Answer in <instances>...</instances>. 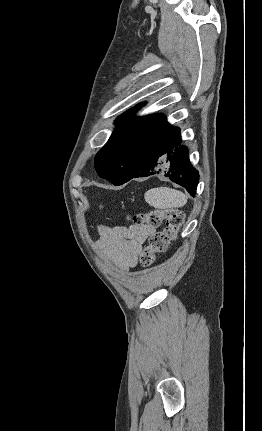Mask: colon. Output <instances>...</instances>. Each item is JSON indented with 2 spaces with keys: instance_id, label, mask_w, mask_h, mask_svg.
I'll return each mask as SVG.
<instances>
[{
  "instance_id": "5ec220e1",
  "label": "colon",
  "mask_w": 262,
  "mask_h": 431,
  "mask_svg": "<svg viewBox=\"0 0 262 431\" xmlns=\"http://www.w3.org/2000/svg\"><path fill=\"white\" fill-rule=\"evenodd\" d=\"M133 225H146L152 228L164 227L152 233L149 245L139 254V261L143 266H150L155 262L156 255L167 251L169 245L176 239L183 221V214L176 209H152L145 213L136 214L131 218Z\"/></svg>"
}]
</instances>
